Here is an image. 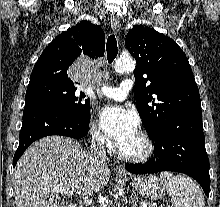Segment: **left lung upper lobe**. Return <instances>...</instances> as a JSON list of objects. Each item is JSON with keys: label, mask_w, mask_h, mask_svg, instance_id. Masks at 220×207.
I'll list each match as a JSON object with an SVG mask.
<instances>
[{"label": "left lung upper lobe", "mask_w": 220, "mask_h": 207, "mask_svg": "<svg viewBox=\"0 0 220 207\" xmlns=\"http://www.w3.org/2000/svg\"><path fill=\"white\" fill-rule=\"evenodd\" d=\"M125 45L136 59L134 96L150 137L171 118L201 110L191 66L174 40L153 28L136 25L128 32Z\"/></svg>", "instance_id": "1"}]
</instances>
